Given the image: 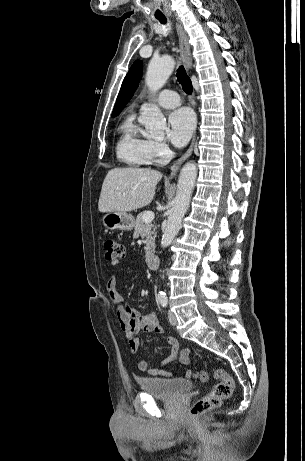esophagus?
<instances>
[{"label":"esophagus","mask_w":305,"mask_h":461,"mask_svg":"<svg viewBox=\"0 0 305 461\" xmlns=\"http://www.w3.org/2000/svg\"><path fill=\"white\" fill-rule=\"evenodd\" d=\"M176 30L179 38V52H180V57L184 63V66L187 71H191L192 69V56H191V50H190V45L188 42V37L183 30L182 26L179 23H176ZM195 138H196V132L194 133V136L192 138L191 144L188 148V150L184 153L182 157H180L172 166L171 173L169 175V179H173L181 164L191 155L195 143Z\"/></svg>","instance_id":"esophagus-1"}]
</instances>
